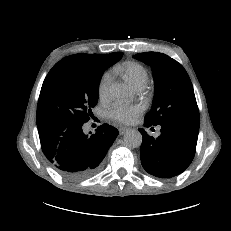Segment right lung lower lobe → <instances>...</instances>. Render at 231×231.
<instances>
[{"label": "right lung lower lobe", "mask_w": 231, "mask_h": 231, "mask_svg": "<svg viewBox=\"0 0 231 231\" xmlns=\"http://www.w3.org/2000/svg\"><path fill=\"white\" fill-rule=\"evenodd\" d=\"M83 124L51 122L38 125L44 155L67 179L80 180L94 175L118 136V130L107 124L95 134L86 135Z\"/></svg>", "instance_id": "98d812e1"}]
</instances>
